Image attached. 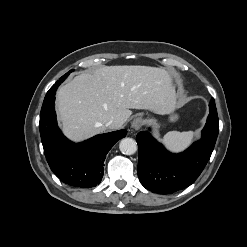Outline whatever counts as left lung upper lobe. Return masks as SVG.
<instances>
[{
    "mask_svg": "<svg viewBox=\"0 0 247 247\" xmlns=\"http://www.w3.org/2000/svg\"><path fill=\"white\" fill-rule=\"evenodd\" d=\"M209 108H210V114L208 116L207 122L212 125L219 126V120L217 116V110L214 99L211 100L209 104Z\"/></svg>",
    "mask_w": 247,
    "mask_h": 247,
    "instance_id": "left-lung-upper-lobe-1",
    "label": "left lung upper lobe"
}]
</instances>
